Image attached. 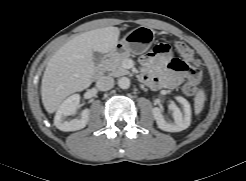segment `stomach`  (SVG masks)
<instances>
[{"label":"stomach","mask_w":246,"mask_h":181,"mask_svg":"<svg viewBox=\"0 0 246 181\" xmlns=\"http://www.w3.org/2000/svg\"><path fill=\"white\" fill-rule=\"evenodd\" d=\"M155 39L154 31L148 27H138L128 32L110 52L111 57L123 53L142 54L146 52Z\"/></svg>","instance_id":"0dacf381"}]
</instances>
